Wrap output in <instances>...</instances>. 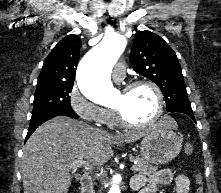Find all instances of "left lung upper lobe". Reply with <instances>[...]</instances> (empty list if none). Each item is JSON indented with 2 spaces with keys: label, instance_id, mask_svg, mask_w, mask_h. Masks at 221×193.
Returning <instances> with one entry per match:
<instances>
[{
  "label": "left lung upper lobe",
  "instance_id": "left-lung-upper-lobe-1",
  "mask_svg": "<svg viewBox=\"0 0 221 193\" xmlns=\"http://www.w3.org/2000/svg\"><path fill=\"white\" fill-rule=\"evenodd\" d=\"M130 63L136 72L158 85L168 112L180 108L192 109L178 58L163 38L147 30L138 31Z\"/></svg>",
  "mask_w": 221,
  "mask_h": 193
}]
</instances>
